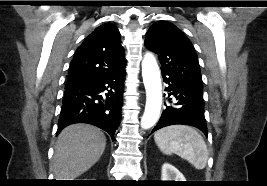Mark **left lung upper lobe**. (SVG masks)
I'll return each mask as SVG.
<instances>
[{
  "mask_svg": "<svg viewBox=\"0 0 267 186\" xmlns=\"http://www.w3.org/2000/svg\"><path fill=\"white\" fill-rule=\"evenodd\" d=\"M145 46L158 55L162 72L172 74L200 90L203 89L195 49L176 26L166 21L155 23L147 32Z\"/></svg>",
  "mask_w": 267,
  "mask_h": 186,
  "instance_id": "obj_1",
  "label": "left lung upper lobe"
}]
</instances>
